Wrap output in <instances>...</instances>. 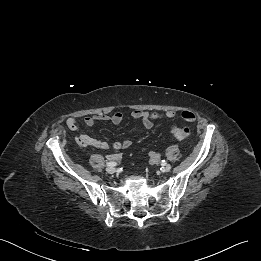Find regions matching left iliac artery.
Wrapping results in <instances>:
<instances>
[{"instance_id": "44dca946", "label": "left iliac artery", "mask_w": 261, "mask_h": 261, "mask_svg": "<svg viewBox=\"0 0 261 261\" xmlns=\"http://www.w3.org/2000/svg\"><path fill=\"white\" fill-rule=\"evenodd\" d=\"M165 164H166L165 160H162L161 165H165Z\"/></svg>"}]
</instances>
